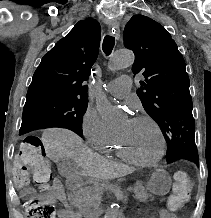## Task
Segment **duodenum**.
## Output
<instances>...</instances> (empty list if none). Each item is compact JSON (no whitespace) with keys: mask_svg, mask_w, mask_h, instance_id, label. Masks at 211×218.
I'll list each match as a JSON object with an SVG mask.
<instances>
[{"mask_svg":"<svg viewBox=\"0 0 211 218\" xmlns=\"http://www.w3.org/2000/svg\"><path fill=\"white\" fill-rule=\"evenodd\" d=\"M81 184V178L78 175H71L66 180V186L69 189L77 188ZM104 214V210L100 209L96 211V216H101ZM124 218V216H120Z\"/></svg>","mask_w":211,"mask_h":218,"instance_id":"1","label":"duodenum"}]
</instances>
